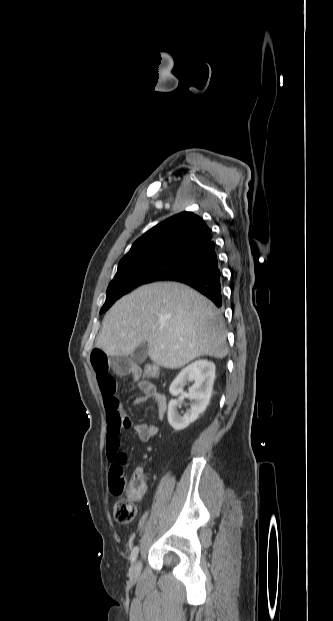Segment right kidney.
<instances>
[{
  "label": "right kidney",
  "mask_w": 333,
  "mask_h": 621,
  "mask_svg": "<svg viewBox=\"0 0 333 621\" xmlns=\"http://www.w3.org/2000/svg\"><path fill=\"white\" fill-rule=\"evenodd\" d=\"M215 379V365L206 359L197 360L185 367L172 382L169 391L173 396L183 394L185 382L194 381L188 395L193 401L183 415L177 413L179 400L173 399L168 405V422L175 431H181L194 422L209 404Z\"/></svg>",
  "instance_id": "right-kidney-1"
}]
</instances>
